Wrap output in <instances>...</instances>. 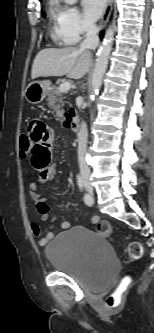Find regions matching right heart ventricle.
<instances>
[{
    "mask_svg": "<svg viewBox=\"0 0 154 333\" xmlns=\"http://www.w3.org/2000/svg\"><path fill=\"white\" fill-rule=\"evenodd\" d=\"M61 7L54 3L50 8L51 31L53 38L60 44L66 43L63 39L60 25ZM67 44V43H66Z\"/></svg>",
    "mask_w": 154,
    "mask_h": 333,
    "instance_id": "right-heart-ventricle-1",
    "label": "right heart ventricle"
}]
</instances>
